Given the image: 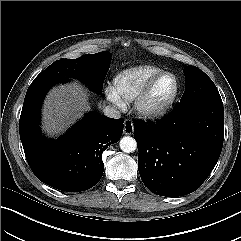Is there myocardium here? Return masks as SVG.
I'll list each match as a JSON object with an SVG mask.
<instances>
[{
  "label": "myocardium",
  "instance_id": "f54148a6",
  "mask_svg": "<svg viewBox=\"0 0 241 241\" xmlns=\"http://www.w3.org/2000/svg\"><path fill=\"white\" fill-rule=\"evenodd\" d=\"M167 76L174 80V90L172 94L162 102L152 103L150 98L153 89L162 78ZM179 89L180 85L177 76L171 72L162 71L153 77L134 99V110L136 114L148 120H154L163 117L175 103L179 94Z\"/></svg>",
  "mask_w": 241,
  "mask_h": 241
}]
</instances>
